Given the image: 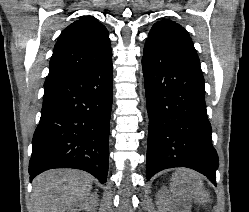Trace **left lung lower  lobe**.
<instances>
[{"mask_svg":"<svg viewBox=\"0 0 249 212\" xmlns=\"http://www.w3.org/2000/svg\"><path fill=\"white\" fill-rule=\"evenodd\" d=\"M142 67L149 117L147 179L163 169L187 167L216 184L218 156L200 65L153 48L144 50Z\"/></svg>","mask_w":249,"mask_h":212,"instance_id":"0a47b994","label":"left lung lower lobe"}]
</instances>
